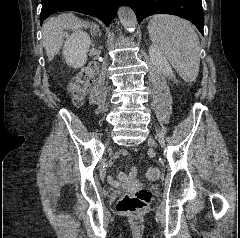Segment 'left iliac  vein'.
I'll use <instances>...</instances> for the list:
<instances>
[{
	"label": "left iliac vein",
	"mask_w": 240,
	"mask_h": 238,
	"mask_svg": "<svg viewBox=\"0 0 240 238\" xmlns=\"http://www.w3.org/2000/svg\"><path fill=\"white\" fill-rule=\"evenodd\" d=\"M148 144L151 145V146H156V143H155V141L152 137L149 138Z\"/></svg>",
	"instance_id": "4c4485c4"
}]
</instances>
